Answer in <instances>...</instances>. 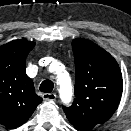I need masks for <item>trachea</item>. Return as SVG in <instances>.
Wrapping results in <instances>:
<instances>
[{"label":"trachea","instance_id":"trachea-1","mask_svg":"<svg viewBox=\"0 0 131 131\" xmlns=\"http://www.w3.org/2000/svg\"><path fill=\"white\" fill-rule=\"evenodd\" d=\"M54 88V84L51 80H44L41 84H40V91L44 92V93H51L52 90Z\"/></svg>","mask_w":131,"mask_h":131}]
</instances>
